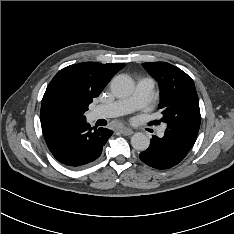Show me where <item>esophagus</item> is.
<instances>
[{"label":"esophagus","instance_id":"1","mask_svg":"<svg viewBox=\"0 0 234 234\" xmlns=\"http://www.w3.org/2000/svg\"><path fill=\"white\" fill-rule=\"evenodd\" d=\"M123 135H132L133 130L127 127H123L119 130Z\"/></svg>","mask_w":234,"mask_h":234}]
</instances>
